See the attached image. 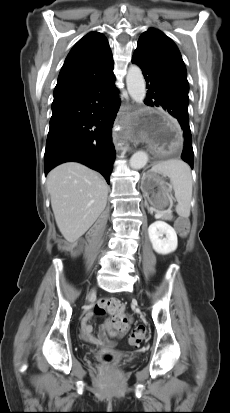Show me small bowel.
I'll return each instance as SVG.
<instances>
[{
  "label": "small bowel",
  "instance_id": "obj_1",
  "mask_svg": "<svg viewBox=\"0 0 230 413\" xmlns=\"http://www.w3.org/2000/svg\"><path fill=\"white\" fill-rule=\"evenodd\" d=\"M92 317L93 313L91 312L84 317L81 323V332L82 337L86 341L96 345L106 343V340L104 338L106 331H109L112 336H122L128 331L131 324V318L128 317L124 312L121 315L113 316L112 319L107 320L102 325V333L100 337L97 338L92 334V327L90 325Z\"/></svg>",
  "mask_w": 230,
  "mask_h": 413
}]
</instances>
